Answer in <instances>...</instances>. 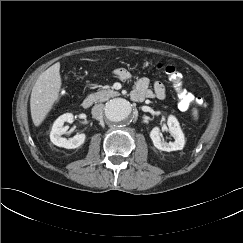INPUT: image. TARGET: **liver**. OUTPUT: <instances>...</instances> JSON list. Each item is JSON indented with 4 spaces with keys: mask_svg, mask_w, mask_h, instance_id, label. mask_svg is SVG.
Segmentation results:
<instances>
[{
    "mask_svg": "<svg viewBox=\"0 0 243 243\" xmlns=\"http://www.w3.org/2000/svg\"><path fill=\"white\" fill-rule=\"evenodd\" d=\"M61 85L59 62L49 67L38 77L30 98L31 117L36 127L41 125L59 100Z\"/></svg>",
    "mask_w": 243,
    "mask_h": 243,
    "instance_id": "liver-1",
    "label": "liver"
}]
</instances>
